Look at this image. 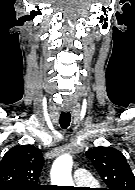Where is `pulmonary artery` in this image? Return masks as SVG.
<instances>
[{"instance_id":"obj_1","label":"pulmonary artery","mask_w":135,"mask_h":190,"mask_svg":"<svg viewBox=\"0 0 135 190\" xmlns=\"http://www.w3.org/2000/svg\"><path fill=\"white\" fill-rule=\"evenodd\" d=\"M73 177L75 183L79 186H88L94 183L90 173L85 169H77Z\"/></svg>"}]
</instances>
